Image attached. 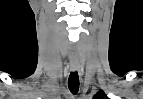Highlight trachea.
Masks as SVG:
<instances>
[{"label": "trachea", "mask_w": 143, "mask_h": 99, "mask_svg": "<svg viewBox=\"0 0 143 99\" xmlns=\"http://www.w3.org/2000/svg\"><path fill=\"white\" fill-rule=\"evenodd\" d=\"M68 88L72 94H77L79 91V76L77 71L71 72L68 79Z\"/></svg>", "instance_id": "obj_1"}]
</instances>
